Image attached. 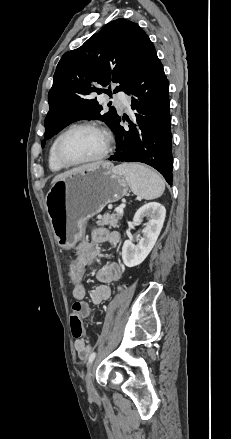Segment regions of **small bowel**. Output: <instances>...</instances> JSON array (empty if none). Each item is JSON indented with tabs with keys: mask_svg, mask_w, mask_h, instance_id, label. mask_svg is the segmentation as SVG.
Listing matches in <instances>:
<instances>
[{
	"mask_svg": "<svg viewBox=\"0 0 231 439\" xmlns=\"http://www.w3.org/2000/svg\"><path fill=\"white\" fill-rule=\"evenodd\" d=\"M121 242V235L117 231H110L105 228L95 229L89 239L83 240L78 248L76 258L82 260L85 267L93 264L100 256V245L109 243L114 248ZM124 274L123 267L114 260L106 261L96 273L97 284L90 291L91 302L95 305L107 301L111 296L110 284L119 281ZM87 283H76L72 295L77 301L73 305V311H77L81 317L90 315V307L82 302L88 291ZM74 348L81 360H85L92 351V346L87 339L79 338L74 342Z\"/></svg>",
	"mask_w": 231,
	"mask_h": 439,
	"instance_id": "1",
	"label": "small bowel"
}]
</instances>
